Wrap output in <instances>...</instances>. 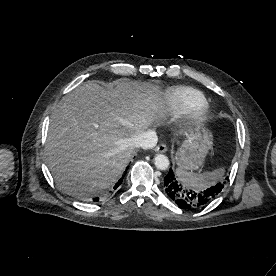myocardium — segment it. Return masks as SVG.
Segmentation results:
<instances>
[{
	"label": "myocardium",
	"mask_w": 276,
	"mask_h": 276,
	"mask_svg": "<svg viewBox=\"0 0 276 276\" xmlns=\"http://www.w3.org/2000/svg\"><path fill=\"white\" fill-rule=\"evenodd\" d=\"M210 116L209 106L204 103L188 113V117L190 121L196 125L202 124L205 122Z\"/></svg>",
	"instance_id": "1"
}]
</instances>
